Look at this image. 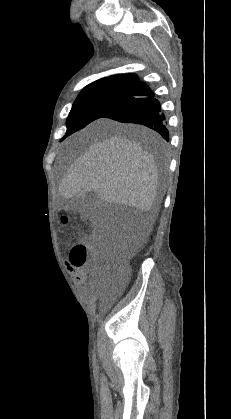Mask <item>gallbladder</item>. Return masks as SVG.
<instances>
[{
    "mask_svg": "<svg viewBox=\"0 0 231 419\" xmlns=\"http://www.w3.org/2000/svg\"><path fill=\"white\" fill-rule=\"evenodd\" d=\"M81 199L86 213H89V210L94 211L100 202L98 195L92 191L85 193Z\"/></svg>",
    "mask_w": 231,
    "mask_h": 419,
    "instance_id": "obj_1",
    "label": "gallbladder"
}]
</instances>
